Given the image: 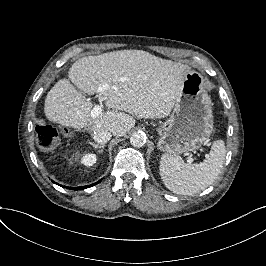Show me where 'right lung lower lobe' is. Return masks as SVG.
I'll list each match as a JSON object with an SVG mask.
<instances>
[{"instance_id":"98d812e1","label":"right lung lower lobe","mask_w":266,"mask_h":266,"mask_svg":"<svg viewBox=\"0 0 266 266\" xmlns=\"http://www.w3.org/2000/svg\"><path fill=\"white\" fill-rule=\"evenodd\" d=\"M101 181V180H100ZM100 181L94 183V184H91L90 186H82V187H66V188H69V189H73V190H80V189H85V188H88V187H91V186H94L96 185L97 183H99Z\"/></svg>"}]
</instances>
